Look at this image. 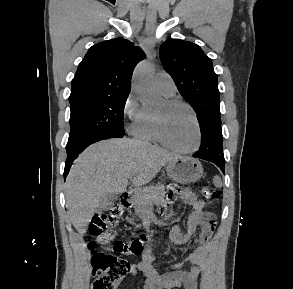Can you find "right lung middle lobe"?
<instances>
[{
	"mask_svg": "<svg viewBox=\"0 0 293 289\" xmlns=\"http://www.w3.org/2000/svg\"><path fill=\"white\" fill-rule=\"evenodd\" d=\"M127 97H83L70 101L71 130L66 147L103 133L125 135L123 112Z\"/></svg>",
	"mask_w": 293,
	"mask_h": 289,
	"instance_id": "right-lung-middle-lobe-1",
	"label": "right lung middle lobe"
}]
</instances>
